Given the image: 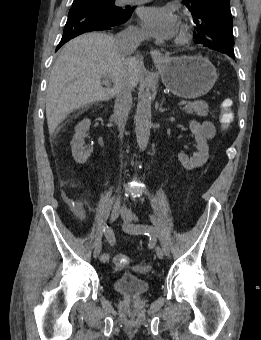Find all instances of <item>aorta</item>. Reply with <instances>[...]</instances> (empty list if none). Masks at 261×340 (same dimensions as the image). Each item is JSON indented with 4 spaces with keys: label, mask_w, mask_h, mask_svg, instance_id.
Listing matches in <instances>:
<instances>
[{
    "label": "aorta",
    "mask_w": 261,
    "mask_h": 340,
    "mask_svg": "<svg viewBox=\"0 0 261 340\" xmlns=\"http://www.w3.org/2000/svg\"><path fill=\"white\" fill-rule=\"evenodd\" d=\"M152 100L153 95L151 92V88L148 86L139 95V100L136 108L135 132L137 144L140 150L146 149L149 142Z\"/></svg>",
    "instance_id": "1"
}]
</instances>
